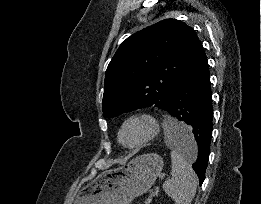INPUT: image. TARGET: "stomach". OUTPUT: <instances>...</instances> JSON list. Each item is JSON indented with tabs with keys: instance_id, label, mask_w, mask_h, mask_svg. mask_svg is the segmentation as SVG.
Wrapping results in <instances>:
<instances>
[{
	"instance_id": "1",
	"label": "stomach",
	"mask_w": 261,
	"mask_h": 204,
	"mask_svg": "<svg viewBox=\"0 0 261 204\" xmlns=\"http://www.w3.org/2000/svg\"><path fill=\"white\" fill-rule=\"evenodd\" d=\"M163 165L161 156L148 153L105 170L82 186L74 204H131L135 197L151 188Z\"/></svg>"
}]
</instances>
